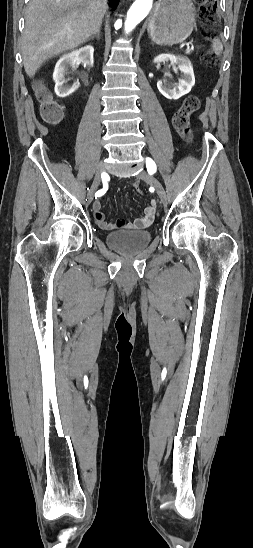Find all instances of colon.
Wrapping results in <instances>:
<instances>
[{
	"instance_id": "colon-1",
	"label": "colon",
	"mask_w": 253,
	"mask_h": 548,
	"mask_svg": "<svg viewBox=\"0 0 253 548\" xmlns=\"http://www.w3.org/2000/svg\"><path fill=\"white\" fill-rule=\"evenodd\" d=\"M198 4L199 16L206 26L207 38L213 39L216 35L214 26L217 20V0H198ZM203 64L209 68L217 66L218 58L216 54L209 52L204 55ZM37 96L41 104L42 117L50 122L58 121L62 115L61 107L43 84L37 85ZM199 106L200 101L196 96H188L174 115L175 129L187 139H190L191 136L190 117L198 110ZM134 187L138 193H142L139 182H136Z\"/></svg>"
}]
</instances>
